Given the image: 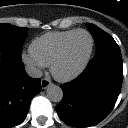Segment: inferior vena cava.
<instances>
[{
  "mask_svg": "<svg viewBox=\"0 0 128 128\" xmlns=\"http://www.w3.org/2000/svg\"><path fill=\"white\" fill-rule=\"evenodd\" d=\"M26 73L33 78H40L42 76V71L36 68L34 65H27L25 67Z\"/></svg>",
  "mask_w": 128,
  "mask_h": 128,
  "instance_id": "1",
  "label": "inferior vena cava"
}]
</instances>
